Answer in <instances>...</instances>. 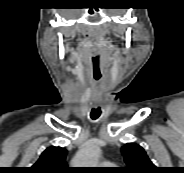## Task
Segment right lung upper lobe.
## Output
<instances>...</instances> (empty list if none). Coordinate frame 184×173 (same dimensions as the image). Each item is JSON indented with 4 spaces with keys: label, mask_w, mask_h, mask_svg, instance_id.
<instances>
[{
    "label": "right lung upper lobe",
    "mask_w": 184,
    "mask_h": 173,
    "mask_svg": "<svg viewBox=\"0 0 184 173\" xmlns=\"http://www.w3.org/2000/svg\"><path fill=\"white\" fill-rule=\"evenodd\" d=\"M67 151L62 147H49L29 169L30 173H69L66 165Z\"/></svg>",
    "instance_id": "obj_1"
}]
</instances>
